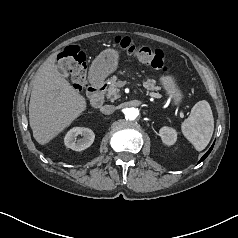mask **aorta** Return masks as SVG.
Returning a JSON list of instances; mask_svg holds the SVG:
<instances>
[{
  "label": "aorta",
  "mask_w": 238,
  "mask_h": 238,
  "mask_svg": "<svg viewBox=\"0 0 238 238\" xmlns=\"http://www.w3.org/2000/svg\"><path fill=\"white\" fill-rule=\"evenodd\" d=\"M124 114L127 120H135L139 115V111L138 109L132 107V108H127Z\"/></svg>",
  "instance_id": "1"
}]
</instances>
